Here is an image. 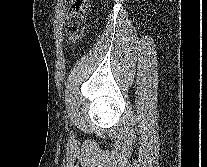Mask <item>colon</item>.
Returning <instances> with one entry per match:
<instances>
[{
	"label": "colon",
	"instance_id": "obj_1",
	"mask_svg": "<svg viewBox=\"0 0 207 167\" xmlns=\"http://www.w3.org/2000/svg\"><path fill=\"white\" fill-rule=\"evenodd\" d=\"M91 0H67L65 9V30L69 39L75 41L83 36V23L86 17L88 5Z\"/></svg>",
	"mask_w": 207,
	"mask_h": 167
}]
</instances>
